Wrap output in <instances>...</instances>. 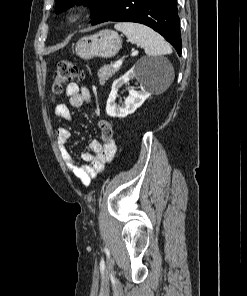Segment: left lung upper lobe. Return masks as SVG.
Masks as SVG:
<instances>
[{
	"label": "left lung upper lobe",
	"instance_id": "obj_1",
	"mask_svg": "<svg viewBox=\"0 0 247 296\" xmlns=\"http://www.w3.org/2000/svg\"><path fill=\"white\" fill-rule=\"evenodd\" d=\"M55 12L60 13L75 3H86L91 7L90 17L95 18L108 4L111 0H56Z\"/></svg>",
	"mask_w": 247,
	"mask_h": 296
}]
</instances>
